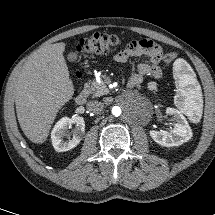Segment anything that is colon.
<instances>
[{"instance_id": "colon-1", "label": "colon", "mask_w": 215, "mask_h": 215, "mask_svg": "<svg viewBox=\"0 0 215 215\" xmlns=\"http://www.w3.org/2000/svg\"><path fill=\"white\" fill-rule=\"evenodd\" d=\"M121 44V39L115 35L94 33L77 43L75 50L79 54H107ZM179 56L177 52H170L164 56L167 63H171Z\"/></svg>"}]
</instances>
